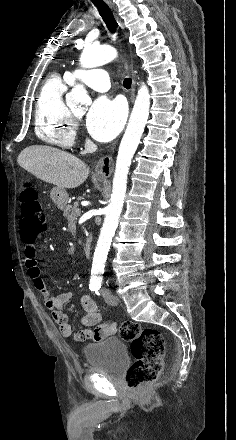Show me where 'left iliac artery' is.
<instances>
[{
    "mask_svg": "<svg viewBox=\"0 0 236 440\" xmlns=\"http://www.w3.org/2000/svg\"><path fill=\"white\" fill-rule=\"evenodd\" d=\"M98 290H99V287H97V288L95 289V293H96L97 295H99Z\"/></svg>",
    "mask_w": 236,
    "mask_h": 440,
    "instance_id": "left-iliac-artery-1",
    "label": "left iliac artery"
}]
</instances>
